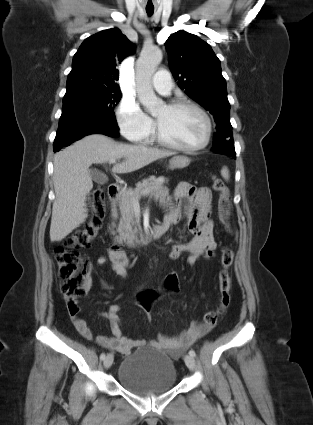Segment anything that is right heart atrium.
Masks as SVG:
<instances>
[{
  "label": "right heart atrium",
  "mask_w": 313,
  "mask_h": 425,
  "mask_svg": "<svg viewBox=\"0 0 313 425\" xmlns=\"http://www.w3.org/2000/svg\"><path fill=\"white\" fill-rule=\"evenodd\" d=\"M116 118L121 133L130 141L145 142L152 134V120L140 109L134 99L121 100Z\"/></svg>",
  "instance_id": "1"
}]
</instances>
